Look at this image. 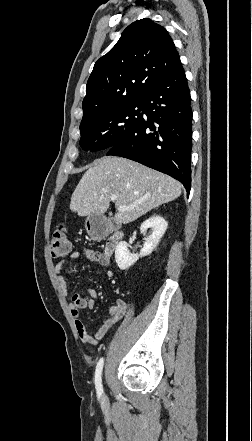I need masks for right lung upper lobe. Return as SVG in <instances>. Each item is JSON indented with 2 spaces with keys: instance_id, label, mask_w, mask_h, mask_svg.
Listing matches in <instances>:
<instances>
[{
  "instance_id": "obj_1",
  "label": "right lung upper lobe",
  "mask_w": 252,
  "mask_h": 441,
  "mask_svg": "<svg viewBox=\"0 0 252 441\" xmlns=\"http://www.w3.org/2000/svg\"><path fill=\"white\" fill-rule=\"evenodd\" d=\"M180 62L167 30L151 19L137 20L94 65L83 100V118L141 100Z\"/></svg>"
}]
</instances>
